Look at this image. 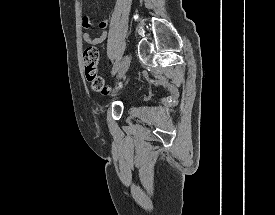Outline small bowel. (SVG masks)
<instances>
[{"instance_id":"obj_1","label":"small bowel","mask_w":275,"mask_h":215,"mask_svg":"<svg viewBox=\"0 0 275 215\" xmlns=\"http://www.w3.org/2000/svg\"><path fill=\"white\" fill-rule=\"evenodd\" d=\"M94 24H97L101 29H103V33L99 37H93L90 33H84L82 36L83 42L87 45H98L101 44L107 37V32L105 29L108 27V20H102V21H94L91 18H84L82 25L84 28H91Z\"/></svg>"}]
</instances>
